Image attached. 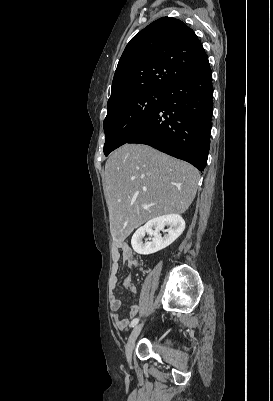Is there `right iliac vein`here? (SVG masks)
I'll list each match as a JSON object with an SVG mask.
<instances>
[{"mask_svg":"<svg viewBox=\"0 0 273 401\" xmlns=\"http://www.w3.org/2000/svg\"><path fill=\"white\" fill-rule=\"evenodd\" d=\"M141 329H142L141 324L134 327V329L132 330V332L128 338L127 344L125 346V354H126L127 361L129 363H131L132 353H133V350L135 347V341H136L138 335L140 334Z\"/></svg>","mask_w":273,"mask_h":401,"instance_id":"63e3f726","label":"right iliac vein"}]
</instances>
